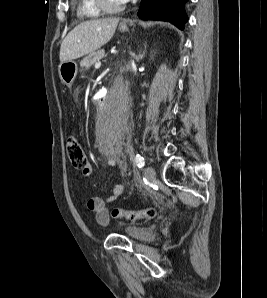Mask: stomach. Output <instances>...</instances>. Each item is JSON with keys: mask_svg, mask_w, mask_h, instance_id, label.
<instances>
[{"mask_svg": "<svg viewBox=\"0 0 267 298\" xmlns=\"http://www.w3.org/2000/svg\"><path fill=\"white\" fill-rule=\"evenodd\" d=\"M119 30L121 32H127L128 27L124 25H120ZM77 71H78V67L75 61L63 62L58 67L59 77L62 83L66 85H72L77 75Z\"/></svg>", "mask_w": 267, "mask_h": 298, "instance_id": "0dacf381", "label": "stomach"}]
</instances>
